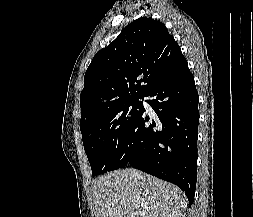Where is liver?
<instances>
[{
	"instance_id": "6515ba94",
	"label": "liver",
	"mask_w": 253,
	"mask_h": 217,
	"mask_svg": "<svg viewBox=\"0 0 253 217\" xmlns=\"http://www.w3.org/2000/svg\"><path fill=\"white\" fill-rule=\"evenodd\" d=\"M95 217H184L187 198L176 186L133 168L93 181Z\"/></svg>"
}]
</instances>
